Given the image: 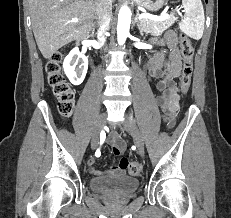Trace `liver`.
I'll return each instance as SVG.
<instances>
[{
  "label": "liver",
  "mask_w": 231,
  "mask_h": 218,
  "mask_svg": "<svg viewBox=\"0 0 231 218\" xmlns=\"http://www.w3.org/2000/svg\"><path fill=\"white\" fill-rule=\"evenodd\" d=\"M95 3L96 0H29L34 37L44 58H51L61 47L86 38L94 30ZM72 18H78V22H71Z\"/></svg>",
  "instance_id": "liver-1"
}]
</instances>
